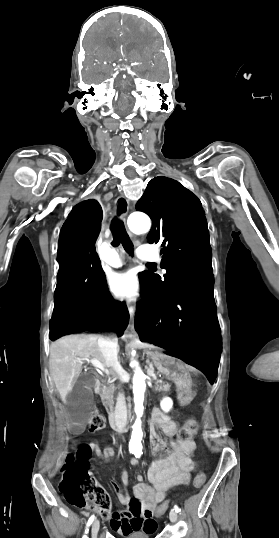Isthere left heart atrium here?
<instances>
[{"label": "left heart atrium", "instance_id": "left-heart-atrium-1", "mask_svg": "<svg viewBox=\"0 0 279 538\" xmlns=\"http://www.w3.org/2000/svg\"><path fill=\"white\" fill-rule=\"evenodd\" d=\"M108 285L111 292L121 300L133 301L138 294V280L131 270L111 273Z\"/></svg>", "mask_w": 279, "mask_h": 538}]
</instances>
